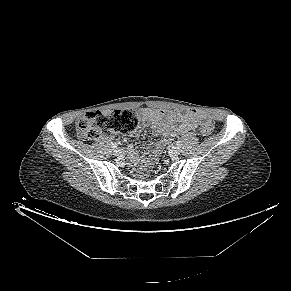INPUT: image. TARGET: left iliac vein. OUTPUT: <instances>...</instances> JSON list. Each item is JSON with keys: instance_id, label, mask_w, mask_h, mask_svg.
<instances>
[{"instance_id": "1", "label": "left iliac vein", "mask_w": 291, "mask_h": 291, "mask_svg": "<svg viewBox=\"0 0 291 291\" xmlns=\"http://www.w3.org/2000/svg\"><path fill=\"white\" fill-rule=\"evenodd\" d=\"M180 153H181V150H180L179 147H177V146H173V147H171V149H170V154H171L172 156H178V155H180Z\"/></svg>"}]
</instances>
